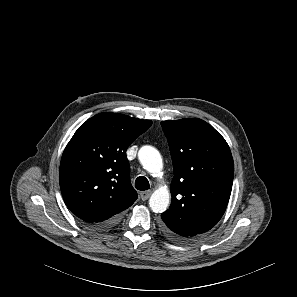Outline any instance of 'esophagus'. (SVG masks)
I'll use <instances>...</instances> for the list:
<instances>
[{
	"instance_id": "34e87169",
	"label": "esophagus",
	"mask_w": 297,
	"mask_h": 297,
	"mask_svg": "<svg viewBox=\"0 0 297 297\" xmlns=\"http://www.w3.org/2000/svg\"><path fill=\"white\" fill-rule=\"evenodd\" d=\"M150 195H151L150 190L140 192V197L143 201L147 200L150 197Z\"/></svg>"
}]
</instances>
